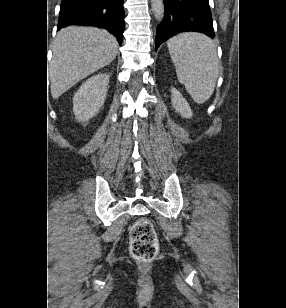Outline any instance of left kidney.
<instances>
[{
    "instance_id": "obj_1",
    "label": "left kidney",
    "mask_w": 286,
    "mask_h": 308,
    "mask_svg": "<svg viewBox=\"0 0 286 308\" xmlns=\"http://www.w3.org/2000/svg\"><path fill=\"white\" fill-rule=\"evenodd\" d=\"M171 102L172 107L176 112L180 113L183 118H191L193 113L186 99L176 89H171Z\"/></svg>"
}]
</instances>
